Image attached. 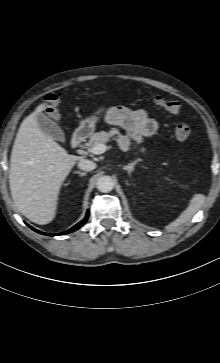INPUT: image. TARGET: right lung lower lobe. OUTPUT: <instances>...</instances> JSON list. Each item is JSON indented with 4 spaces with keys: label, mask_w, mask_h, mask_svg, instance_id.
Returning <instances> with one entry per match:
<instances>
[{
    "label": "right lung lower lobe",
    "mask_w": 220,
    "mask_h": 363,
    "mask_svg": "<svg viewBox=\"0 0 220 363\" xmlns=\"http://www.w3.org/2000/svg\"><path fill=\"white\" fill-rule=\"evenodd\" d=\"M88 215H89V212L87 211V214H86V217L81 221V222H79L78 224H76L74 227H72L71 229H69V230H67V231H65V232H62V233H60V234H47V233H43V232H40V231H38V230H36V229H34V228H32L33 230H35L36 232H38V233H40V234H44V235H48V236H55V235H64V234H68V233H70V232H73V231H75V230H77V229H79L85 222H86V220H87V218H88Z\"/></svg>",
    "instance_id": "obj_1"
}]
</instances>
